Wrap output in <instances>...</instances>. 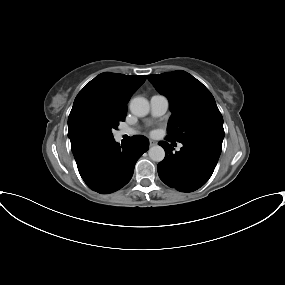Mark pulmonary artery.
<instances>
[{
    "instance_id": "pulmonary-artery-1",
    "label": "pulmonary artery",
    "mask_w": 285,
    "mask_h": 285,
    "mask_svg": "<svg viewBox=\"0 0 285 285\" xmlns=\"http://www.w3.org/2000/svg\"><path fill=\"white\" fill-rule=\"evenodd\" d=\"M150 106H151V114L154 117L162 116L166 113L169 107V101L168 98L161 94H155L150 99ZM135 133V130L133 129H123L119 132V135L125 136V135H133ZM179 148L182 147L181 144L178 146Z\"/></svg>"
}]
</instances>
